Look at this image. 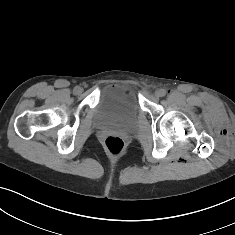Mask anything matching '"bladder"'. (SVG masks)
Here are the masks:
<instances>
[{
    "mask_svg": "<svg viewBox=\"0 0 235 235\" xmlns=\"http://www.w3.org/2000/svg\"><path fill=\"white\" fill-rule=\"evenodd\" d=\"M140 112L133 90L124 86H111L100 96L93 110V119L99 128L128 129L137 123Z\"/></svg>",
    "mask_w": 235,
    "mask_h": 235,
    "instance_id": "obj_1",
    "label": "bladder"
}]
</instances>
